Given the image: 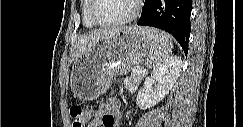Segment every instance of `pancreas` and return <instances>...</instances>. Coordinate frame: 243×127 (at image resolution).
Listing matches in <instances>:
<instances>
[{
    "label": "pancreas",
    "instance_id": "obj_1",
    "mask_svg": "<svg viewBox=\"0 0 243 127\" xmlns=\"http://www.w3.org/2000/svg\"><path fill=\"white\" fill-rule=\"evenodd\" d=\"M144 74L140 72V70H136L131 73L129 77L124 80V84L126 85V89L133 91L140 84L143 79Z\"/></svg>",
    "mask_w": 243,
    "mask_h": 127
}]
</instances>
